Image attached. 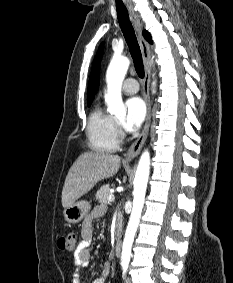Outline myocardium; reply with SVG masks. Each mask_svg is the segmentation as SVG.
<instances>
[{
  "mask_svg": "<svg viewBox=\"0 0 233 283\" xmlns=\"http://www.w3.org/2000/svg\"><path fill=\"white\" fill-rule=\"evenodd\" d=\"M117 123V127L120 125V123L119 122H116Z\"/></svg>",
  "mask_w": 233,
  "mask_h": 283,
  "instance_id": "obj_1",
  "label": "myocardium"
}]
</instances>
